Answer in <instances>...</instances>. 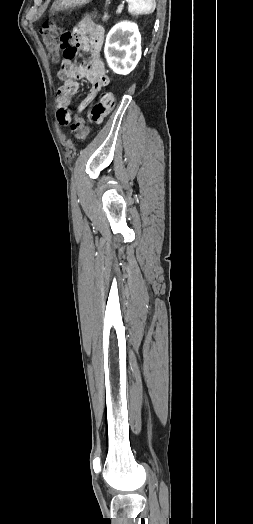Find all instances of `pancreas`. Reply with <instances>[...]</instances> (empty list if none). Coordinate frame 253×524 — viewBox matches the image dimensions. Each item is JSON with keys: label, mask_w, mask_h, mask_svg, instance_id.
Returning <instances> with one entry per match:
<instances>
[{"label": "pancreas", "mask_w": 253, "mask_h": 524, "mask_svg": "<svg viewBox=\"0 0 253 524\" xmlns=\"http://www.w3.org/2000/svg\"><path fill=\"white\" fill-rule=\"evenodd\" d=\"M102 19L103 21H107L109 19V16L107 14H104Z\"/></svg>", "instance_id": "obj_1"}]
</instances>
